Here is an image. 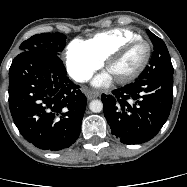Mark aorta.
<instances>
[{"label": "aorta", "mask_w": 187, "mask_h": 187, "mask_svg": "<svg viewBox=\"0 0 187 187\" xmlns=\"http://www.w3.org/2000/svg\"><path fill=\"white\" fill-rule=\"evenodd\" d=\"M89 109L94 113H99L103 110V103L100 100H92L89 104Z\"/></svg>", "instance_id": "762f6f07"}]
</instances>
